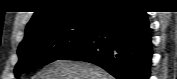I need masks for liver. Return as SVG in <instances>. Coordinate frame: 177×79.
Masks as SVG:
<instances>
[{"label": "liver", "instance_id": "1", "mask_svg": "<svg viewBox=\"0 0 177 79\" xmlns=\"http://www.w3.org/2000/svg\"><path fill=\"white\" fill-rule=\"evenodd\" d=\"M33 79H112V76L91 63L56 60L40 70Z\"/></svg>", "mask_w": 177, "mask_h": 79}]
</instances>
